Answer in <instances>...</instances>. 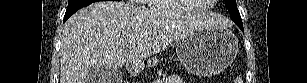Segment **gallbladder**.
I'll return each mask as SVG.
<instances>
[{
  "instance_id": "1",
  "label": "gallbladder",
  "mask_w": 307,
  "mask_h": 83,
  "mask_svg": "<svg viewBox=\"0 0 307 83\" xmlns=\"http://www.w3.org/2000/svg\"><path fill=\"white\" fill-rule=\"evenodd\" d=\"M122 72L119 69L94 67L86 78L87 83H120Z\"/></svg>"
}]
</instances>
